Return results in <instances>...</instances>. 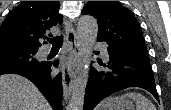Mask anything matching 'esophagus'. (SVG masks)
Wrapping results in <instances>:
<instances>
[{
  "label": "esophagus",
  "mask_w": 171,
  "mask_h": 110,
  "mask_svg": "<svg viewBox=\"0 0 171 110\" xmlns=\"http://www.w3.org/2000/svg\"><path fill=\"white\" fill-rule=\"evenodd\" d=\"M65 37L68 55L62 64V85L64 98L68 99L75 86L77 65L80 57V44L78 36L70 21L65 20Z\"/></svg>",
  "instance_id": "obj_1"
}]
</instances>
